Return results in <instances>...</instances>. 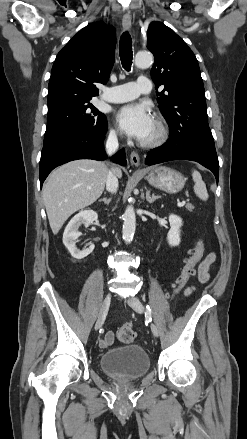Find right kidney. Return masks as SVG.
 <instances>
[{
  "label": "right kidney",
  "mask_w": 247,
  "mask_h": 439,
  "mask_svg": "<svg viewBox=\"0 0 247 439\" xmlns=\"http://www.w3.org/2000/svg\"><path fill=\"white\" fill-rule=\"evenodd\" d=\"M97 219L98 214L94 210H82L76 214L66 226L63 233V243L73 258L78 260L83 259L94 250V245H91L89 248L82 251L79 250L76 247V240L81 235L78 231L79 227L82 224L88 226Z\"/></svg>",
  "instance_id": "ca27d5eb"
}]
</instances>
